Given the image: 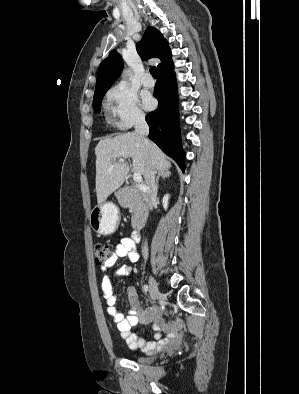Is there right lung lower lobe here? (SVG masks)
Wrapping results in <instances>:
<instances>
[{
    "mask_svg": "<svg viewBox=\"0 0 299 394\" xmlns=\"http://www.w3.org/2000/svg\"><path fill=\"white\" fill-rule=\"evenodd\" d=\"M173 70L172 61L158 70L154 96L159 104L155 111L146 115V121L150 128L149 138L184 171L185 154L180 138L177 84Z\"/></svg>",
    "mask_w": 299,
    "mask_h": 394,
    "instance_id": "obj_1",
    "label": "right lung lower lobe"
}]
</instances>
